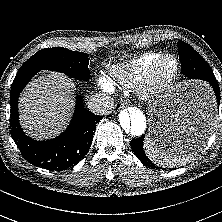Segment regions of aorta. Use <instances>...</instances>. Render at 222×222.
<instances>
[{
    "mask_svg": "<svg viewBox=\"0 0 222 222\" xmlns=\"http://www.w3.org/2000/svg\"><path fill=\"white\" fill-rule=\"evenodd\" d=\"M119 123L122 131L131 136H141L147 126L144 113L137 107H128L119 114Z\"/></svg>",
    "mask_w": 222,
    "mask_h": 222,
    "instance_id": "762f6f07",
    "label": "aorta"
}]
</instances>
